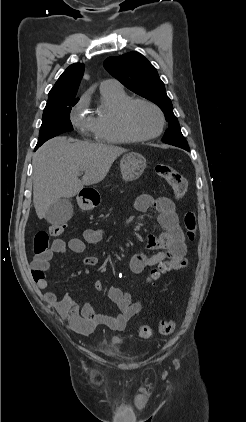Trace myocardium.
I'll list each match as a JSON object with an SVG mask.
<instances>
[{
    "mask_svg": "<svg viewBox=\"0 0 246 422\" xmlns=\"http://www.w3.org/2000/svg\"><path fill=\"white\" fill-rule=\"evenodd\" d=\"M137 104H146L152 107L158 113L160 118V125L155 133L142 135L134 129L131 123L130 114L133 107ZM119 119L125 132L135 141H148L157 138L161 135L166 125V118L162 109L156 103L144 98H132L127 101L119 111Z\"/></svg>",
    "mask_w": 246,
    "mask_h": 422,
    "instance_id": "myocardium-1",
    "label": "myocardium"
}]
</instances>
